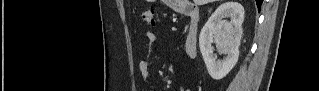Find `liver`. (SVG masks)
<instances>
[{
	"label": "liver",
	"mask_w": 319,
	"mask_h": 91,
	"mask_svg": "<svg viewBox=\"0 0 319 91\" xmlns=\"http://www.w3.org/2000/svg\"><path fill=\"white\" fill-rule=\"evenodd\" d=\"M213 0H194V3L196 5H204V4H207L209 2H212Z\"/></svg>",
	"instance_id": "obj_1"
}]
</instances>
